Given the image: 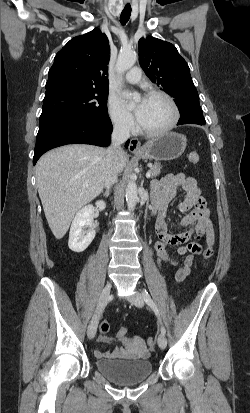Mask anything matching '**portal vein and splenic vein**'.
Wrapping results in <instances>:
<instances>
[{
	"label": "portal vein and splenic vein",
	"mask_w": 250,
	"mask_h": 413,
	"mask_svg": "<svg viewBox=\"0 0 250 413\" xmlns=\"http://www.w3.org/2000/svg\"><path fill=\"white\" fill-rule=\"evenodd\" d=\"M150 176H151V173H150V172H147V173H146V177H147V178H150ZM86 186H87V185H86Z\"/></svg>",
	"instance_id": "obj_1"
}]
</instances>
